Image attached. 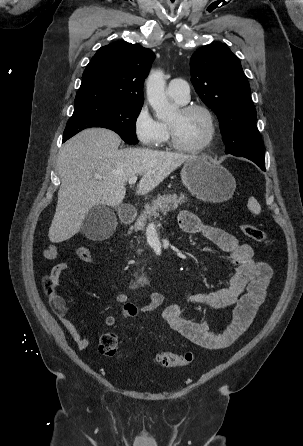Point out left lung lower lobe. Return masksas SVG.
<instances>
[{"instance_id": "obj_1", "label": "left lung lower lobe", "mask_w": 303, "mask_h": 446, "mask_svg": "<svg viewBox=\"0 0 303 446\" xmlns=\"http://www.w3.org/2000/svg\"><path fill=\"white\" fill-rule=\"evenodd\" d=\"M248 159H250L251 161L256 163L259 167H261V169L265 170V162H261V161H259L257 159H254V158H248Z\"/></svg>"}]
</instances>
